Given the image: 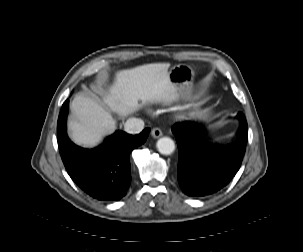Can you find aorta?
Wrapping results in <instances>:
<instances>
[{"mask_svg":"<svg viewBox=\"0 0 303 252\" xmlns=\"http://www.w3.org/2000/svg\"><path fill=\"white\" fill-rule=\"evenodd\" d=\"M158 151L163 155H170L175 150V143L169 137H162L156 143Z\"/></svg>","mask_w":303,"mask_h":252,"instance_id":"obj_1","label":"aorta"}]
</instances>
